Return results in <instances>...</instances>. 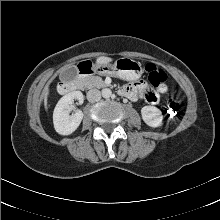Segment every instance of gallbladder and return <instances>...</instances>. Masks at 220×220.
I'll return each instance as SVG.
<instances>
[{
	"mask_svg": "<svg viewBox=\"0 0 220 220\" xmlns=\"http://www.w3.org/2000/svg\"><path fill=\"white\" fill-rule=\"evenodd\" d=\"M62 77L69 80H74L77 77V68L76 66L68 67L62 74Z\"/></svg>",
	"mask_w": 220,
	"mask_h": 220,
	"instance_id": "bac80fb5",
	"label": "gallbladder"
}]
</instances>
